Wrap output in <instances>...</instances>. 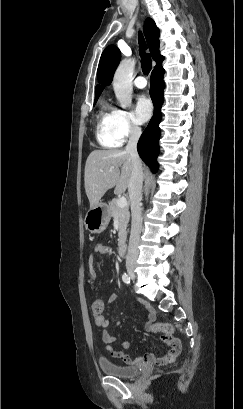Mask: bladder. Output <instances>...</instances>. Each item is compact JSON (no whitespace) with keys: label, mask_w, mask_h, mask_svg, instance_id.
I'll list each match as a JSON object with an SVG mask.
<instances>
[{"label":"bladder","mask_w":243,"mask_h":409,"mask_svg":"<svg viewBox=\"0 0 243 409\" xmlns=\"http://www.w3.org/2000/svg\"><path fill=\"white\" fill-rule=\"evenodd\" d=\"M98 366L106 375L117 378H133L141 372L138 366H123L109 360H99Z\"/></svg>","instance_id":"bladder-1"}]
</instances>
